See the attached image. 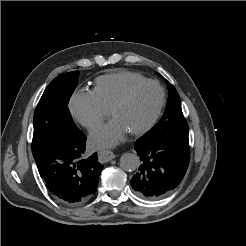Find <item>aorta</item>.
I'll return each instance as SVG.
<instances>
[{"instance_id": "aorta-1", "label": "aorta", "mask_w": 246, "mask_h": 246, "mask_svg": "<svg viewBox=\"0 0 246 246\" xmlns=\"http://www.w3.org/2000/svg\"><path fill=\"white\" fill-rule=\"evenodd\" d=\"M140 165V158L133 153H125L120 158V166L125 171H134Z\"/></svg>"}]
</instances>
